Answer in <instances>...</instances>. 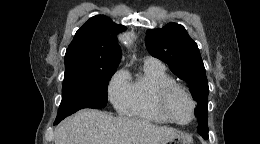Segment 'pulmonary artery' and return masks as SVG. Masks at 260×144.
Listing matches in <instances>:
<instances>
[{
    "label": "pulmonary artery",
    "mask_w": 260,
    "mask_h": 144,
    "mask_svg": "<svg viewBox=\"0 0 260 144\" xmlns=\"http://www.w3.org/2000/svg\"><path fill=\"white\" fill-rule=\"evenodd\" d=\"M145 62L153 64V65H157V66H162L161 62L153 57H146Z\"/></svg>",
    "instance_id": "e3ab8cb5"
}]
</instances>
